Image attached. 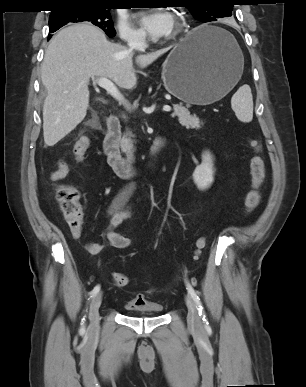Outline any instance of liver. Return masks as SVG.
Here are the masks:
<instances>
[{
    "mask_svg": "<svg viewBox=\"0 0 306 387\" xmlns=\"http://www.w3.org/2000/svg\"><path fill=\"white\" fill-rule=\"evenodd\" d=\"M167 51L139 54L135 62L145 68ZM133 56L132 50L111 43L101 29L89 23L68 26L52 38L41 66V80L47 90L43 105L47 146H54L85 118L90 78H107L124 89L135 87Z\"/></svg>",
    "mask_w": 306,
    "mask_h": 387,
    "instance_id": "1",
    "label": "liver"
}]
</instances>
